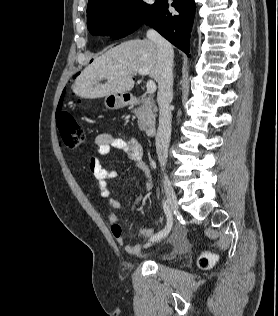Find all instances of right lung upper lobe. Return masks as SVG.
<instances>
[{
  "instance_id": "right-lung-upper-lobe-1",
  "label": "right lung upper lobe",
  "mask_w": 278,
  "mask_h": 316,
  "mask_svg": "<svg viewBox=\"0 0 278 316\" xmlns=\"http://www.w3.org/2000/svg\"><path fill=\"white\" fill-rule=\"evenodd\" d=\"M106 1H109V0H88L87 11H89L92 8H94L98 4L106 2Z\"/></svg>"
}]
</instances>
